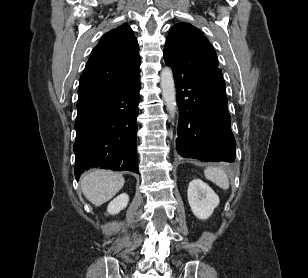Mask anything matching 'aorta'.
<instances>
[{
    "label": "aorta",
    "instance_id": "1",
    "mask_svg": "<svg viewBox=\"0 0 308 278\" xmlns=\"http://www.w3.org/2000/svg\"><path fill=\"white\" fill-rule=\"evenodd\" d=\"M160 86L162 89V96L166 103L167 110L172 118L176 113V90L171 68L165 67L161 72Z\"/></svg>",
    "mask_w": 308,
    "mask_h": 278
}]
</instances>
